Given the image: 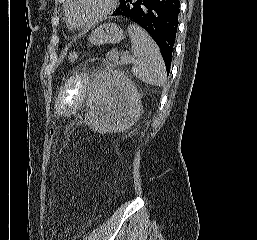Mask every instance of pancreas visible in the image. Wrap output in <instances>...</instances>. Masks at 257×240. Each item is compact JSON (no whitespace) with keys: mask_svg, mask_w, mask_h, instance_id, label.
Instances as JSON below:
<instances>
[{"mask_svg":"<svg viewBox=\"0 0 257 240\" xmlns=\"http://www.w3.org/2000/svg\"><path fill=\"white\" fill-rule=\"evenodd\" d=\"M107 59L109 60L110 64L114 65H120L122 64L121 61H119V52L116 50H111L106 54Z\"/></svg>","mask_w":257,"mask_h":240,"instance_id":"pancreas-1","label":"pancreas"}]
</instances>
